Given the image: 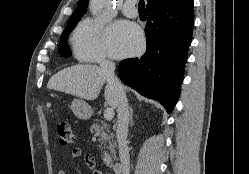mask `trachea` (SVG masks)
I'll return each instance as SVG.
<instances>
[{
	"label": "trachea",
	"instance_id": "3493384b",
	"mask_svg": "<svg viewBox=\"0 0 249 174\" xmlns=\"http://www.w3.org/2000/svg\"><path fill=\"white\" fill-rule=\"evenodd\" d=\"M139 10H145L144 0H140L138 4Z\"/></svg>",
	"mask_w": 249,
	"mask_h": 174
}]
</instances>
